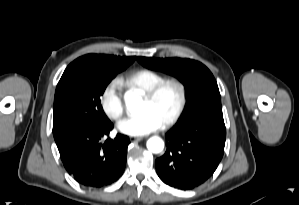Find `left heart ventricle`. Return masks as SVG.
<instances>
[{
	"mask_svg": "<svg viewBox=\"0 0 299 205\" xmlns=\"http://www.w3.org/2000/svg\"><path fill=\"white\" fill-rule=\"evenodd\" d=\"M177 101V89L168 87L154 101H147L143 98L138 112L150 111L163 123L175 110Z\"/></svg>",
	"mask_w": 299,
	"mask_h": 205,
	"instance_id": "b2bd125f",
	"label": "left heart ventricle"
}]
</instances>
